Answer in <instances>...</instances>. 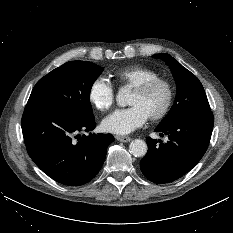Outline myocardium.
Masks as SVG:
<instances>
[{"label":"myocardium","instance_id":"obj_1","mask_svg":"<svg viewBox=\"0 0 233 233\" xmlns=\"http://www.w3.org/2000/svg\"><path fill=\"white\" fill-rule=\"evenodd\" d=\"M164 86L167 90V98L165 101L164 106L162 109L149 117V119L153 122L160 121L164 119L170 112L173 102H174V96H175V91H174V86L172 82L166 78L158 77L149 81H146L142 83L141 85H138L134 87L133 91L139 94H147L151 92L154 88L157 86Z\"/></svg>","mask_w":233,"mask_h":233}]
</instances>
